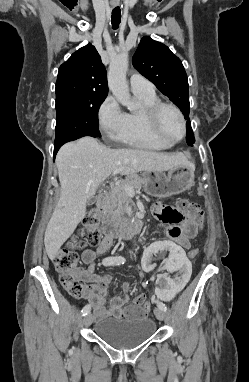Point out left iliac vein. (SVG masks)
<instances>
[{
    "label": "left iliac vein",
    "mask_w": 249,
    "mask_h": 382,
    "mask_svg": "<svg viewBox=\"0 0 249 382\" xmlns=\"http://www.w3.org/2000/svg\"><path fill=\"white\" fill-rule=\"evenodd\" d=\"M154 314L157 317V319H159V320H164L166 318L165 311L161 310L160 308H155Z\"/></svg>",
    "instance_id": "4c4485c4"
}]
</instances>
